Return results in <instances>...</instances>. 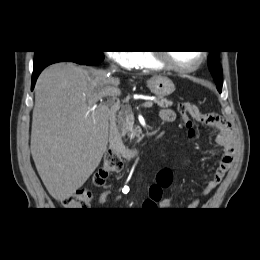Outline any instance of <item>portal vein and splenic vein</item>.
I'll use <instances>...</instances> for the list:
<instances>
[{
	"label": "portal vein and splenic vein",
	"instance_id": "1",
	"mask_svg": "<svg viewBox=\"0 0 260 260\" xmlns=\"http://www.w3.org/2000/svg\"><path fill=\"white\" fill-rule=\"evenodd\" d=\"M121 91L117 88L111 89L108 91L107 95H120ZM143 107L145 108H151L153 106V102L152 101H146L142 104Z\"/></svg>",
	"mask_w": 260,
	"mask_h": 260
}]
</instances>
